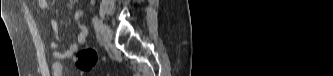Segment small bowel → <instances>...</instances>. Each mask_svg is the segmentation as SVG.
Masks as SVG:
<instances>
[{"label":"small bowel","instance_id":"obj_1","mask_svg":"<svg viewBox=\"0 0 333 76\" xmlns=\"http://www.w3.org/2000/svg\"><path fill=\"white\" fill-rule=\"evenodd\" d=\"M37 5L42 10H47L49 8V1L47 0H37ZM83 16V10L78 9L74 12V19L77 23L79 34L76 40L64 49H60V45L62 43V39L60 36V29L57 21L52 18L50 19V25L54 34V40L50 42V47L52 50V56L58 60H67L74 56V54L78 51V49L85 44L88 35L87 27L82 23L81 18ZM54 76H62L63 75V65L59 62H56L52 66Z\"/></svg>","mask_w":333,"mask_h":76}]
</instances>
